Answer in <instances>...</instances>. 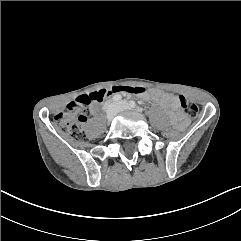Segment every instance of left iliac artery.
<instances>
[{"mask_svg":"<svg viewBox=\"0 0 241 241\" xmlns=\"http://www.w3.org/2000/svg\"><path fill=\"white\" fill-rule=\"evenodd\" d=\"M129 105H130L132 108H136V110H138V111L141 110V108L138 107L134 101H130V102H129Z\"/></svg>","mask_w":241,"mask_h":241,"instance_id":"obj_1","label":"left iliac artery"}]
</instances>
